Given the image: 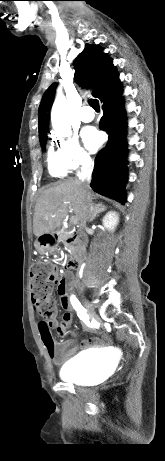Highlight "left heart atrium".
<instances>
[{"mask_svg":"<svg viewBox=\"0 0 165 461\" xmlns=\"http://www.w3.org/2000/svg\"><path fill=\"white\" fill-rule=\"evenodd\" d=\"M83 140L91 151H95L102 144L103 137L95 128H87L83 132Z\"/></svg>","mask_w":165,"mask_h":461,"instance_id":"39dd6f15","label":"left heart atrium"}]
</instances>
